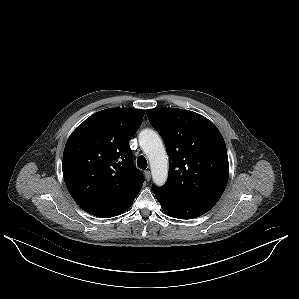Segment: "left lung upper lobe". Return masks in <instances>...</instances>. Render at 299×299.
I'll return each instance as SVG.
<instances>
[{
  "instance_id": "5c2ea615",
  "label": "left lung upper lobe",
  "mask_w": 299,
  "mask_h": 299,
  "mask_svg": "<svg viewBox=\"0 0 299 299\" xmlns=\"http://www.w3.org/2000/svg\"><path fill=\"white\" fill-rule=\"evenodd\" d=\"M152 126L165 142L169 177L162 196L217 203L229 177L225 141L217 127L204 116L176 108L147 110Z\"/></svg>"
}]
</instances>
